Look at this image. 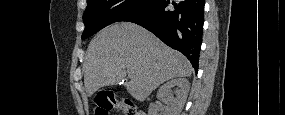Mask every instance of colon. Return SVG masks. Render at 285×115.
I'll return each instance as SVG.
<instances>
[{
    "label": "colon",
    "mask_w": 285,
    "mask_h": 115,
    "mask_svg": "<svg viewBox=\"0 0 285 115\" xmlns=\"http://www.w3.org/2000/svg\"><path fill=\"white\" fill-rule=\"evenodd\" d=\"M96 115H108L110 110H118L125 115H142L129 99H118L113 94L103 93L96 98Z\"/></svg>",
    "instance_id": "colon-1"
}]
</instances>
